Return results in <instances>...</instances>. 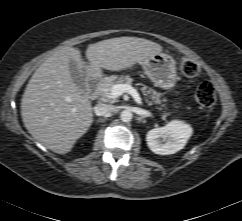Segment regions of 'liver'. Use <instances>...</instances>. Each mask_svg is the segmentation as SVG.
<instances>
[{
    "mask_svg": "<svg viewBox=\"0 0 242 221\" xmlns=\"http://www.w3.org/2000/svg\"><path fill=\"white\" fill-rule=\"evenodd\" d=\"M162 49L144 38H111L88 46L89 65L75 47L57 50L36 69L23 94L21 115L27 131L47 149L68 153L93 122L91 102L71 78L70 60L77 63L83 79H97L101 68L121 71L143 65Z\"/></svg>",
    "mask_w": 242,
    "mask_h": 221,
    "instance_id": "6515ba94",
    "label": "liver"
}]
</instances>
